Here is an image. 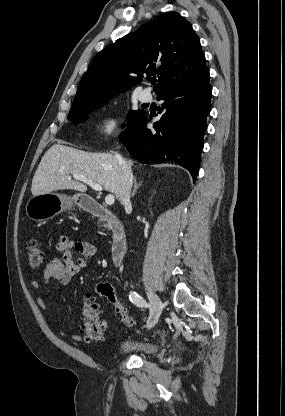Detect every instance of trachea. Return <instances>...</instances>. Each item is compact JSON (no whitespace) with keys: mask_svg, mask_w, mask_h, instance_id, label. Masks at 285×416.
<instances>
[{"mask_svg":"<svg viewBox=\"0 0 285 416\" xmlns=\"http://www.w3.org/2000/svg\"><path fill=\"white\" fill-rule=\"evenodd\" d=\"M150 82H151L153 85H155V83H157V80H156V78H152V79L150 80Z\"/></svg>","mask_w":285,"mask_h":416,"instance_id":"3493384b","label":"trachea"}]
</instances>
